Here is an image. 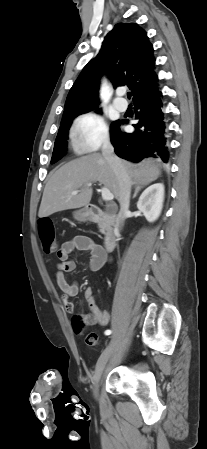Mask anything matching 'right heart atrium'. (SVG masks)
I'll return each mask as SVG.
<instances>
[{
    "label": "right heart atrium",
    "instance_id": "d8ad5b80",
    "mask_svg": "<svg viewBox=\"0 0 207 449\" xmlns=\"http://www.w3.org/2000/svg\"><path fill=\"white\" fill-rule=\"evenodd\" d=\"M72 130L75 146L83 152L96 151L109 140L104 118L92 111L79 115Z\"/></svg>",
    "mask_w": 207,
    "mask_h": 449
}]
</instances>
